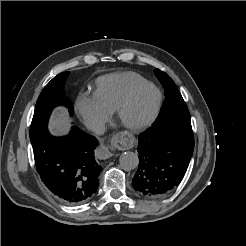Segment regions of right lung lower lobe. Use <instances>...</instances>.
Segmentation results:
<instances>
[{
  "instance_id": "98d812e1",
  "label": "right lung lower lobe",
  "mask_w": 246,
  "mask_h": 246,
  "mask_svg": "<svg viewBox=\"0 0 246 246\" xmlns=\"http://www.w3.org/2000/svg\"><path fill=\"white\" fill-rule=\"evenodd\" d=\"M31 143L37 172L60 201L81 204L96 192L102 167L94 157L95 137L72 126L64 137H54L45 129Z\"/></svg>"
}]
</instances>
